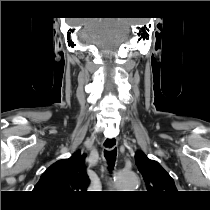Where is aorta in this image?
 <instances>
[{
    "label": "aorta",
    "mask_w": 210,
    "mask_h": 210,
    "mask_svg": "<svg viewBox=\"0 0 210 210\" xmlns=\"http://www.w3.org/2000/svg\"><path fill=\"white\" fill-rule=\"evenodd\" d=\"M115 186L123 191H131L139 186V178L135 173L119 171L115 175Z\"/></svg>",
    "instance_id": "obj_1"
}]
</instances>
